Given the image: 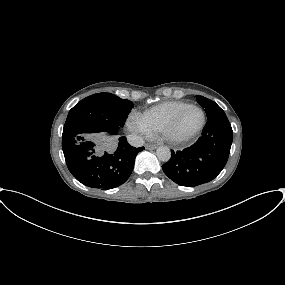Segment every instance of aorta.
<instances>
[{
	"label": "aorta",
	"instance_id": "762f6f07",
	"mask_svg": "<svg viewBox=\"0 0 285 285\" xmlns=\"http://www.w3.org/2000/svg\"><path fill=\"white\" fill-rule=\"evenodd\" d=\"M156 155L160 161L167 162L171 158L170 149L166 146H160L156 150Z\"/></svg>",
	"mask_w": 285,
	"mask_h": 285
}]
</instances>
